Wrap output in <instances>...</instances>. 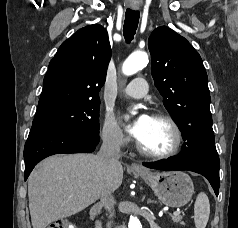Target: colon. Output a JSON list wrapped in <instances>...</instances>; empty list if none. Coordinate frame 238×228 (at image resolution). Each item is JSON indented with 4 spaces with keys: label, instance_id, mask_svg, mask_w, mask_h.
Listing matches in <instances>:
<instances>
[{
    "label": "colon",
    "instance_id": "colon-1",
    "mask_svg": "<svg viewBox=\"0 0 238 228\" xmlns=\"http://www.w3.org/2000/svg\"><path fill=\"white\" fill-rule=\"evenodd\" d=\"M47 228H76V226L68 220L61 219L50 223Z\"/></svg>",
    "mask_w": 238,
    "mask_h": 228
}]
</instances>
